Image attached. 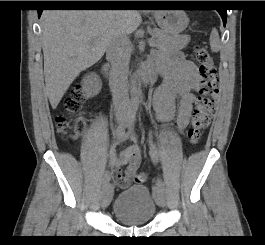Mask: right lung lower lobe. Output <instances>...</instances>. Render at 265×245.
<instances>
[{
	"label": "right lung lower lobe",
	"mask_w": 265,
	"mask_h": 245,
	"mask_svg": "<svg viewBox=\"0 0 265 245\" xmlns=\"http://www.w3.org/2000/svg\"><path fill=\"white\" fill-rule=\"evenodd\" d=\"M54 6H79V7H118L122 6L120 1H81L80 3H56ZM43 10H38V17Z\"/></svg>",
	"instance_id": "1"
}]
</instances>
